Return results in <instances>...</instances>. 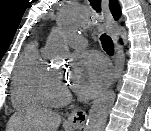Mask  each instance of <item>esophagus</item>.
Listing matches in <instances>:
<instances>
[{"label": "esophagus", "mask_w": 151, "mask_h": 131, "mask_svg": "<svg viewBox=\"0 0 151 131\" xmlns=\"http://www.w3.org/2000/svg\"><path fill=\"white\" fill-rule=\"evenodd\" d=\"M102 10L105 18L106 30L111 35V37L117 41V34L114 31L115 21L109 9V0H102ZM124 52L121 46H118V51L115 59V69H114V79L112 84H114L119 77L124 68ZM87 115L83 110H74L68 116V122L75 128L82 129L85 125Z\"/></svg>", "instance_id": "34e87169"}]
</instances>
